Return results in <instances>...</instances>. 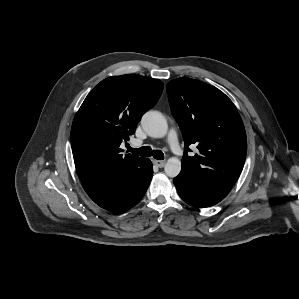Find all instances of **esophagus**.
<instances>
[{
  "mask_svg": "<svg viewBox=\"0 0 299 299\" xmlns=\"http://www.w3.org/2000/svg\"><path fill=\"white\" fill-rule=\"evenodd\" d=\"M153 163L159 168H162L165 165V161L163 160H153Z\"/></svg>",
  "mask_w": 299,
  "mask_h": 299,
  "instance_id": "esophagus-1",
  "label": "esophagus"
}]
</instances>
